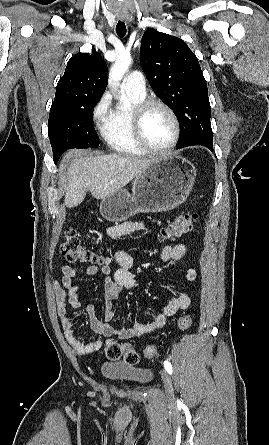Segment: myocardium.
Masks as SVG:
<instances>
[{"label":"myocardium","instance_id":"obj_1","mask_svg":"<svg viewBox=\"0 0 269 445\" xmlns=\"http://www.w3.org/2000/svg\"><path fill=\"white\" fill-rule=\"evenodd\" d=\"M154 107H159L164 109L169 116L171 117L174 124V134L169 142V144L162 149H155L151 147L145 139L143 132V123L146 114L148 111ZM132 128L133 134L137 144L146 152L152 155H165L171 152L175 146L177 145L180 134H181V125L179 118L175 111L165 102L157 100V99H144L140 103H138L132 113Z\"/></svg>","mask_w":269,"mask_h":445}]
</instances>
